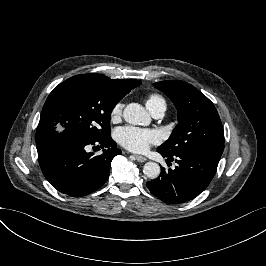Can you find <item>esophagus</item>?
Returning a JSON list of instances; mask_svg holds the SVG:
<instances>
[{
  "mask_svg": "<svg viewBox=\"0 0 266 266\" xmlns=\"http://www.w3.org/2000/svg\"><path fill=\"white\" fill-rule=\"evenodd\" d=\"M134 157H135V159H136L138 162H141V163L147 161L146 157L141 156V155H134Z\"/></svg>",
  "mask_w": 266,
  "mask_h": 266,
  "instance_id": "obj_1",
  "label": "esophagus"
}]
</instances>
